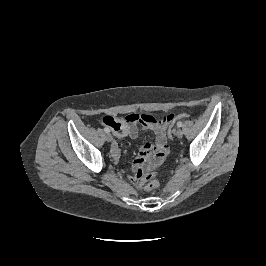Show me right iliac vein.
<instances>
[{
    "label": "right iliac vein",
    "mask_w": 266,
    "mask_h": 266,
    "mask_svg": "<svg viewBox=\"0 0 266 266\" xmlns=\"http://www.w3.org/2000/svg\"><path fill=\"white\" fill-rule=\"evenodd\" d=\"M105 138H106V140L108 142H111L113 140V137H112V135L110 133H107L106 136H105Z\"/></svg>",
    "instance_id": "1"
}]
</instances>
